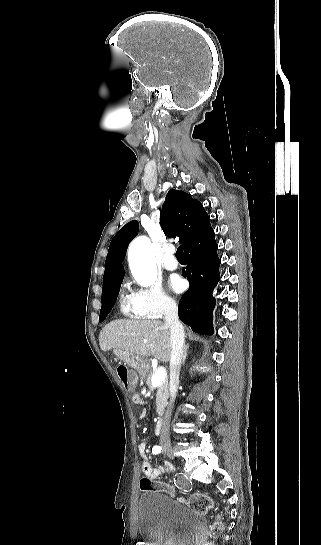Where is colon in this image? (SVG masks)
I'll return each mask as SVG.
<instances>
[{
    "mask_svg": "<svg viewBox=\"0 0 321 545\" xmlns=\"http://www.w3.org/2000/svg\"><path fill=\"white\" fill-rule=\"evenodd\" d=\"M117 374L126 388L132 389L134 387L135 380H134L133 373L126 366L124 365L118 366ZM140 488L143 491L159 490V491H163L167 493L174 492L169 485L163 482L154 481L148 476H145L141 479ZM185 502L189 507L201 513H208L213 507L212 499L207 494H204V493L192 494L185 500ZM221 530H222V523L220 519L218 518L212 525L211 535L217 536L221 532Z\"/></svg>",
    "mask_w": 321,
    "mask_h": 545,
    "instance_id": "colon-1",
    "label": "colon"
}]
</instances>
